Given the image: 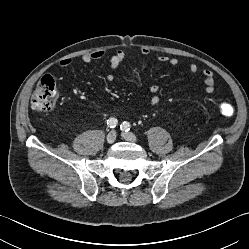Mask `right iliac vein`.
I'll list each match as a JSON object with an SVG mask.
<instances>
[{"label":"right iliac vein","mask_w":249,"mask_h":249,"mask_svg":"<svg viewBox=\"0 0 249 249\" xmlns=\"http://www.w3.org/2000/svg\"><path fill=\"white\" fill-rule=\"evenodd\" d=\"M116 132L115 131H111L107 134V137H106V141L108 144H112L115 142L116 140Z\"/></svg>","instance_id":"obj_1"}]
</instances>
